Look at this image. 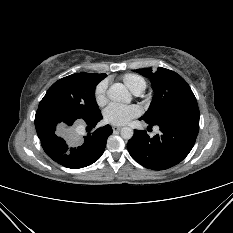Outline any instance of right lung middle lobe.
I'll use <instances>...</instances> for the list:
<instances>
[{
    "mask_svg": "<svg viewBox=\"0 0 233 233\" xmlns=\"http://www.w3.org/2000/svg\"><path fill=\"white\" fill-rule=\"evenodd\" d=\"M99 81L91 73H76L55 82L39 104L70 119L88 120L101 112L95 100Z\"/></svg>",
    "mask_w": 233,
    "mask_h": 233,
    "instance_id": "right-lung-middle-lobe-1",
    "label": "right lung middle lobe"
}]
</instances>
